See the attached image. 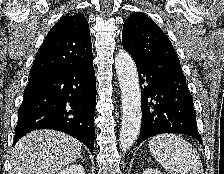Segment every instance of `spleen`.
Segmentation results:
<instances>
[{
    "instance_id": "1",
    "label": "spleen",
    "mask_w": 224,
    "mask_h": 174,
    "mask_svg": "<svg viewBox=\"0 0 224 174\" xmlns=\"http://www.w3.org/2000/svg\"><path fill=\"white\" fill-rule=\"evenodd\" d=\"M149 149L170 174H204L199 154L178 135H157L149 141Z\"/></svg>"
}]
</instances>
